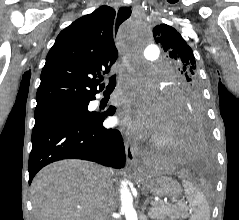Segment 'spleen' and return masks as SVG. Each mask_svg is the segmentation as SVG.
Returning a JSON list of instances; mask_svg holds the SVG:
<instances>
[{"mask_svg": "<svg viewBox=\"0 0 239 220\" xmlns=\"http://www.w3.org/2000/svg\"><path fill=\"white\" fill-rule=\"evenodd\" d=\"M183 187L192 210L190 220H210V208L204 194L188 180H183Z\"/></svg>", "mask_w": 239, "mask_h": 220, "instance_id": "spleen-1", "label": "spleen"}]
</instances>
